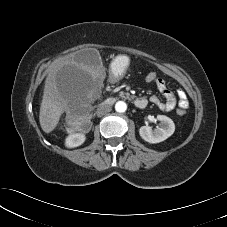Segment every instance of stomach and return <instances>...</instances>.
Segmentation results:
<instances>
[{"label": "stomach", "mask_w": 227, "mask_h": 227, "mask_svg": "<svg viewBox=\"0 0 227 227\" xmlns=\"http://www.w3.org/2000/svg\"><path fill=\"white\" fill-rule=\"evenodd\" d=\"M129 66V58L126 55L117 56L111 64V75L114 78H122Z\"/></svg>", "instance_id": "stomach-1"}]
</instances>
